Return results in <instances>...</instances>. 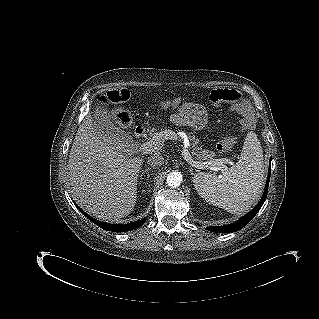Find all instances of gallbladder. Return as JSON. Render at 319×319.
Here are the masks:
<instances>
[{
	"label": "gallbladder",
	"mask_w": 319,
	"mask_h": 319,
	"mask_svg": "<svg viewBox=\"0 0 319 319\" xmlns=\"http://www.w3.org/2000/svg\"><path fill=\"white\" fill-rule=\"evenodd\" d=\"M94 124L98 132L105 136L106 138H109L111 140L116 139H124L127 138V134L117 127L111 120L110 115L107 110H105L103 107L97 106L96 111L94 113Z\"/></svg>",
	"instance_id": "bac80fb5"
}]
</instances>
